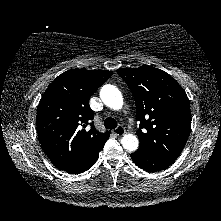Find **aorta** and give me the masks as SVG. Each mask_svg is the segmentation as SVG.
Segmentation results:
<instances>
[{
  "label": "aorta",
  "mask_w": 221,
  "mask_h": 221,
  "mask_svg": "<svg viewBox=\"0 0 221 221\" xmlns=\"http://www.w3.org/2000/svg\"><path fill=\"white\" fill-rule=\"evenodd\" d=\"M100 98L103 103L113 110H119L123 106V97L120 90L111 84L104 85L100 90ZM122 146L128 151H135L139 142L136 136L126 134L121 139Z\"/></svg>",
  "instance_id": "762f6f07"
}]
</instances>
